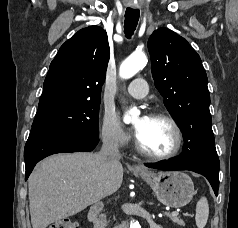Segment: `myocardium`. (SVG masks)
<instances>
[{
	"instance_id": "1",
	"label": "myocardium",
	"mask_w": 238,
	"mask_h": 228,
	"mask_svg": "<svg viewBox=\"0 0 238 228\" xmlns=\"http://www.w3.org/2000/svg\"><path fill=\"white\" fill-rule=\"evenodd\" d=\"M149 117L154 118V119L166 120L171 125V127L173 128L174 134H175L174 146L170 151H168L166 153H162V154L151 153V152L145 150L143 148V146L141 145V143L139 142L138 138H136V140H135L136 150L142 156L149 158V159H153V160H167V159H171V158L175 157L181 150L182 143H183V134H182V130H181L178 122L170 114H168L166 112H162V111H154V112L150 113Z\"/></svg>"
}]
</instances>
